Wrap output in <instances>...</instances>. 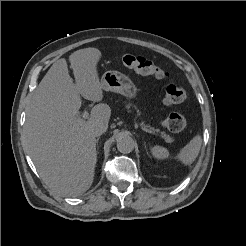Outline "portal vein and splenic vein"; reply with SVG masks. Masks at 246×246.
Wrapping results in <instances>:
<instances>
[{"label":"portal vein and splenic vein","instance_id":"portal-vein-and-splenic-vein-1","mask_svg":"<svg viewBox=\"0 0 246 246\" xmlns=\"http://www.w3.org/2000/svg\"><path fill=\"white\" fill-rule=\"evenodd\" d=\"M88 116H89L88 112H87L86 110H84L83 113H82V118H83V119H87ZM141 129H142L143 131H145V132L150 133V134H155L154 131H153L151 128L148 129V128H146V127L141 126Z\"/></svg>","mask_w":246,"mask_h":246}]
</instances>
